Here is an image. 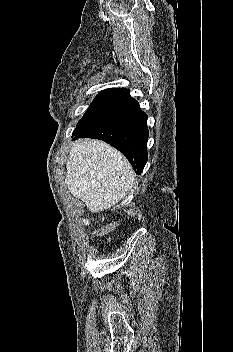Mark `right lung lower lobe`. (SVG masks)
<instances>
[{"label": "right lung lower lobe", "mask_w": 233, "mask_h": 352, "mask_svg": "<svg viewBox=\"0 0 233 352\" xmlns=\"http://www.w3.org/2000/svg\"><path fill=\"white\" fill-rule=\"evenodd\" d=\"M146 121V113L130 97L74 132L72 140L93 138L109 143L124 154L139 175L148 159L146 146L149 131Z\"/></svg>", "instance_id": "right-lung-lower-lobe-1"}]
</instances>
